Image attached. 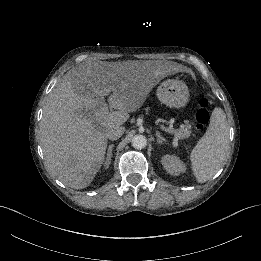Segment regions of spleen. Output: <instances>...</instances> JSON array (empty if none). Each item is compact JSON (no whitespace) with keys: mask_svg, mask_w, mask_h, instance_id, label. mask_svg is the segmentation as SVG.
Here are the masks:
<instances>
[{"mask_svg":"<svg viewBox=\"0 0 261 261\" xmlns=\"http://www.w3.org/2000/svg\"><path fill=\"white\" fill-rule=\"evenodd\" d=\"M229 146V125L221 108H215L206 134L191 152L192 171L198 183H205L221 168Z\"/></svg>","mask_w":261,"mask_h":261,"instance_id":"1","label":"spleen"}]
</instances>
